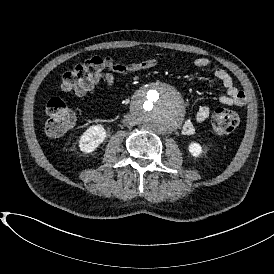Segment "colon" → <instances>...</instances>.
Listing matches in <instances>:
<instances>
[{"label":"colon","instance_id":"5ec220e1","mask_svg":"<svg viewBox=\"0 0 274 274\" xmlns=\"http://www.w3.org/2000/svg\"><path fill=\"white\" fill-rule=\"evenodd\" d=\"M119 71L112 62L103 57H92L65 72L61 78V87L68 94L84 86L90 79L101 73ZM49 118L46 122V135L58 138L69 131L76 121L75 112L67 106V101L61 96H52L47 101ZM239 125L238 113L226 109H218L212 116L213 131L221 136L233 133Z\"/></svg>","mask_w":274,"mask_h":274}]
</instances>
